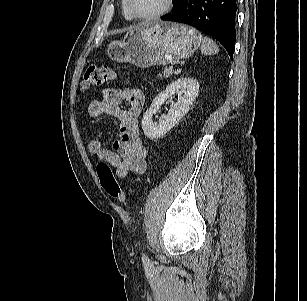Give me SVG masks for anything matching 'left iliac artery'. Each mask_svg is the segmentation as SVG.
Listing matches in <instances>:
<instances>
[{
    "label": "left iliac artery",
    "instance_id": "44dca946",
    "mask_svg": "<svg viewBox=\"0 0 307 301\" xmlns=\"http://www.w3.org/2000/svg\"><path fill=\"white\" fill-rule=\"evenodd\" d=\"M142 260L145 264H149L150 263V259L143 253L142 254Z\"/></svg>",
    "mask_w": 307,
    "mask_h": 301
}]
</instances>
